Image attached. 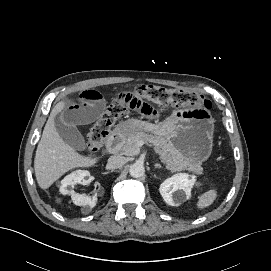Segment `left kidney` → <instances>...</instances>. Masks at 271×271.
I'll list each match as a JSON object with an SVG mask.
<instances>
[{
    "mask_svg": "<svg viewBox=\"0 0 271 271\" xmlns=\"http://www.w3.org/2000/svg\"><path fill=\"white\" fill-rule=\"evenodd\" d=\"M195 183V176L186 173L176 174L166 179L159 188L164 201L171 206H177L189 199L191 188Z\"/></svg>",
    "mask_w": 271,
    "mask_h": 271,
    "instance_id": "5707ae66",
    "label": "left kidney"
}]
</instances>
